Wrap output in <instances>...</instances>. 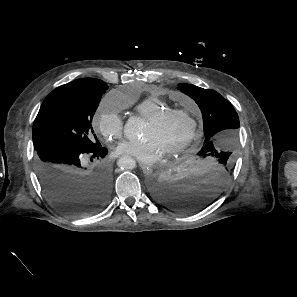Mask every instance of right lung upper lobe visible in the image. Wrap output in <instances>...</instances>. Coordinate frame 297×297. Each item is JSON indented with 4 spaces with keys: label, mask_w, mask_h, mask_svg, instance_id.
<instances>
[{
    "label": "right lung upper lobe",
    "mask_w": 297,
    "mask_h": 297,
    "mask_svg": "<svg viewBox=\"0 0 297 297\" xmlns=\"http://www.w3.org/2000/svg\"><path fill=\"white\" fill-rule=\"evenodd\" d=\"M101 80L99 79H94V78H83V79H77L75 81H72L71 83H77V84H99Z\"/></svg>",
    "instance_id": "cb5924a9"
}]
</instances>
